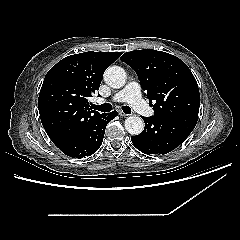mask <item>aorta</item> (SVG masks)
Returning <instances> with one entry per match:
<instances>
[{
  "mask_svg": "<svg viewBox=\"0 0 240 240\" xmlns=\"http://www.w3.org/2000/svg\"><path fill=\"white\" fill-rule=\"evenodd\" d=\"M104 80L112 88H121L126 81V72L119 66H111L105 70ZM125 129L131 135H139L144 130V122L138 116H129L125 120Z\"/></svg>",
  "mask_w": 240,
  "mask_h": 240,
  "instance_id": "obj_1",
  "label": "aorta"
}]
</instances>
